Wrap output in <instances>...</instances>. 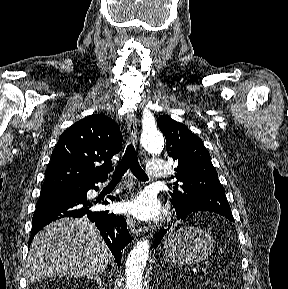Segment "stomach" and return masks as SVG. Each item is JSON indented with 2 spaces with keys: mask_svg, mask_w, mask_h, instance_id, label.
Segmentation results:
<instances>
[{
  "mask_svg": "<svg viewBox=\"0 0 288 289\" xmlns=\"http://www.w3.org/2000/svg\"><path fill=\"white\" fill-rule=\"evenodd\" d=\"M213 240L205 230L185 226L171 232L164 244L165 257L172 264L192 265L211 254Z\"/></svg>",
  "mask_w": 288,
  "mask_h": 289,
  "instance_id": "1",
  "label": "stomach"
}]
</instances>
